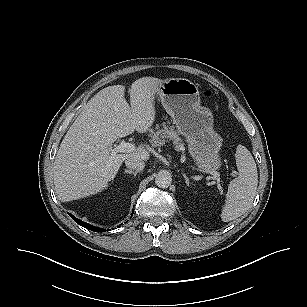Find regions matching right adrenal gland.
<instances>
[{
	"mask_svg": "<svg viewBox=\"0 0 307 307\" xmlns=\"http://www.w3.org/2000/svg\"><path fill=\"white\" fill-rule=\"evenodd\" d=\"M125 173H127V174H133L134 177H136V175L139 173V171H133V170L125 169Z\"/></svg>",
	"mask_w": 307,
	"mask_h": 307,
	"instance_id": "obj_1",
	"label": "right adrenal gland"
}]
</instances>
